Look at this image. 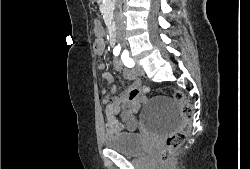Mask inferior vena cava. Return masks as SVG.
Returning <instances> with one entry per match:
<instances>
[{
	"label": "inferior vena cava",
	"instance_id": "obj_1",
	"mask_svg": "<svg viewBox=\"0 0 250 169\" xmlns=\"http://www.w3.org/2000/svg\"><path fill=\"white\" fill-rule=\"evenodd\" d=\"M122 2L123 0H117V4H116V8L117 10H115L114 12V20H115V24L117 26V30H123V14H122Z\"/></svg>",
	"mask_w": 250,
	"mask_h": 169
}]
</instances>
